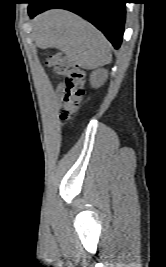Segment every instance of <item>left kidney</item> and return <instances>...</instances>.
I'll return each mask as SVG.
<instances>
[{"label": "left kidney", "mask_w": 166, "mask_h": 267, "mask_svg": "<svg viewBox=\"0 0 166 267\" xmlns=\"http://www.w3.org/2000/svg\"><path fill=\"white\" fill-rule=\"evenodd\" d=\"M102 81L101 71H94L90 75V83L93 87H98Z\"/></svg>", "instance_id": "5707ae66"}]
</instances>
